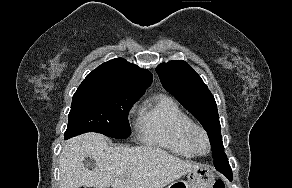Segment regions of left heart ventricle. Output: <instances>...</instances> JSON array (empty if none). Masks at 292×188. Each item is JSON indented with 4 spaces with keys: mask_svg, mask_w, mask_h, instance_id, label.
Returning <instances> with one entry per match:
<instances>
[{
    "mask_svg": "<svg viewBox=\"0 0 292 188\" xmlns=\"http://www.w3.org/2000/svg\"><path fill=\"white\" fill-rule=\"evenodd\" d=\"M195 144L201 152L207 151V143H206L205 138L202 135L200 134L196 135Z\"/></svg>",
    "mask_w": 292,
    "mask_h": 188,
    "instance_id": "1",
    "label": "left heart ventricle"
}]
</instances>
